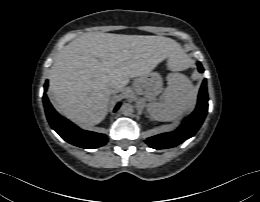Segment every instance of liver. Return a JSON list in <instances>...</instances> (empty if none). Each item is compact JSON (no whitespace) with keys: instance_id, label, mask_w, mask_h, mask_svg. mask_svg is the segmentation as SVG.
Masks as SVG:
<instances>
[{"instance_id":"liver-1","label":"liver","mask_w":260,"mask_h":202,"mask_svg":"<svg viewBox=\"0 0 260 202\" xmlns=\"http://www.w3.org/2000/svg\"><path fill=\"white\" fill-rule=\"evenodd\" d=\"M166 58L169 70L186 66V55L171 38L83 34L60 51L51 67V102L70 120L93 126L105 118L113 86L122 91L129 78L148 74Z\"/></svg>"}]
</instances>
